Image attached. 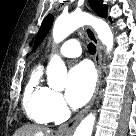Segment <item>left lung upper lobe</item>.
<instances>
[{
	"label": "left lung upper lobe",
	"mask_w": 136,
	"mask_h": 136,
	"mask_svg": "<svg viewBox=\"0 0 136 136\" xmlns=\"http://www.w3.org/2000/svg\"><path fill=\"white\" fill-rule=\"evenodd\" d=\"M91 8L101 17L107 16V6L102 3V0H89ZM53 22V16L48 15L42 22V25L38 31L35 39L34 49L41 43L44 37L47 35L50 26Z\"/></svg>",
	"instance_id": "obj_1"
}]
</instances>
